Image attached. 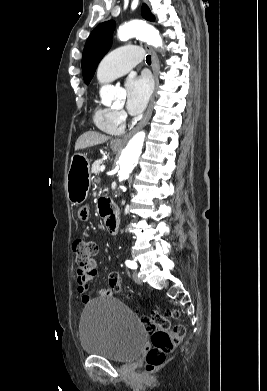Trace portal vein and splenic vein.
I'll return each mask as SVG.
<instances>
[{"instance_id":"obj_1","label":"portal vein and splenic vein","mask_w":267,"mask_h":391,"mask_svg":"<svg viewBox=\"0 0 267 391\" xmlns=\"http://www.w3.org/2000/svg\"><path fill=\"white\" fill-rule=\"evenodd\" d=\"M105 170V166L100 167V171L103 172Z\"/></svg>"}]
</instances>
